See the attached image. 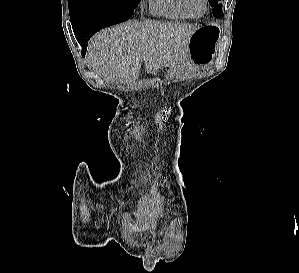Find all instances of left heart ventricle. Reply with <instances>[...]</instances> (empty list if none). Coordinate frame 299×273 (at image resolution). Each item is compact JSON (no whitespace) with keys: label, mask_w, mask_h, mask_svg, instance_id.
I'll return each instance as SVG.
<instances>
[{"label":"left heart ventricle","mask_w":299,"mask_h":273,"mask_svg":"<svg viewBox=\"0 0 299 273\" xmlns=\"http://www.w3.org/2000/svg\"><path fill=\"white\" fill-rule=\"evenodd\" d=\"M187 6L193 15H200L204 10L203 0H187Z\"/></svg>","instance_id":"left-heart-ventricle-1"}]
</instances>
